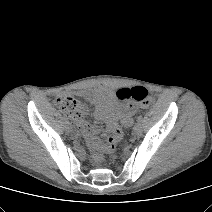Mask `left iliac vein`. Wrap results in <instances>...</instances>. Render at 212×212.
<instances>
[{
  "mask_svg": "<svg viewBox=\"0 0 212 212\" xmlns=\"http://www.w3.org/2000/svg\"><path fill=\"white\" fill-rule=\"evenodd\" d=\"M141 124L140 123H136L133 127V134L138 136L141 133Z\"/></svg>",
  "mask_w": 212,
  "mask_h": 212,
  "instance_id": "4c4485c4",
  "label": "left iliac vein"
}]
</instances>
